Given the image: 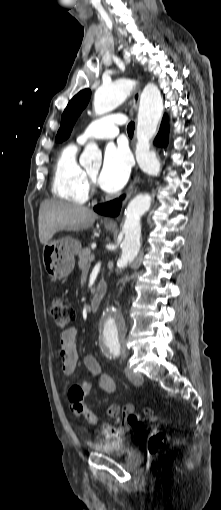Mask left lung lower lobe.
<instances>
[{"label": "left lung lower lobe", "instance_id": "left-lung-lower-lobe-1", "mask_svg": "<svg viewBox=\"0 0 221 510\" xmlns=\"http://www.w3.org/2000/svg\"><path fill=\"white\" fill-rule=\"evenodd\" d=\"M168 121L166 116L163 117L162 124L160 127V131L155 139V144L159 146H166L168 142ZM121 197L120 199H116L104 204H99L94 207V210L102 215H110V216H116L119 214L120 208H121Z\"/></svg>", "mask_w": 221, "mask_h": 510}]
</instances>
